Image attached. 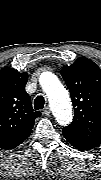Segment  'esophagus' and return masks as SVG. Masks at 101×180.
<instances>
[{
  "label": "esophagus",
  "mask_w": 101,
  "mask_h": 180,
  "mask_svg": "<svg viewBox=\"0 0 101 180\" xmlns=\"http://www.w3.org/2000/svg\"><path fill=\"white\" fill-rule=\"evenodd\" d=\"M42 113H43L44 115H49V114H50V108H49L48 106H46V107L43 109Z\"/></svg>",
  "instance_id": "1"
}]
</instances>
